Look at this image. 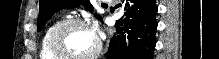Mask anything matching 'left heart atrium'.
<instances>
[{
  "mask_svg": "<svg viewBox=\"0 0 219 59\" xmlns=\"http://www.w3.org/2000/svg\"><path fill=\"white\" fill-rule=\"evenodd\" d=\"M89 32H90V34L93 36V37H97L96 36V28L95 27H91V28H89Z\"/></svg>",
  "mask_w": 219,
  "mask_h": 59,
  "instance_id": "obj_1",
  "label": "left heart atrium"
}]
</instances>
